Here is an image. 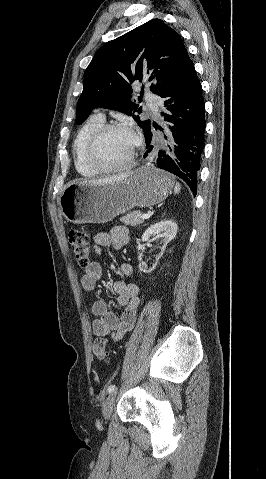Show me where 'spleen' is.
I'll use <instances>...</instances> for the list:
<instances>
[{"instance_id": "1", "label": "spleen", "mask_w": 266, "mask_h": 479, "mask_svg": "<svg viewBox=\"0 0 266 479\" xmlns=\"http://www.w3.org/2000/svg\"><path fill=\"white\" fill-rule=\"evenodd\" d=\"M180 189H181V186L179 183H176L175 187H174V193L175 194H178L180 192Z\"/></svg>"}]
</instances>
